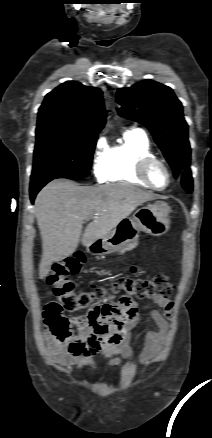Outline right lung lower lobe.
I'll list each match as a JSON object with an SVG mask.
<instances>
[{
    "label": "right lung lower lobe",
    "instance_id": "obj_1",
    "mask_svg": "<svg viewBox=\"0 0 212 438\" xmlns=\"http://www.w3.org/2000/svg\"><path fill=\"white\" fill-rule=\"evenodd\" d=\"M56 178H63L60 176H45V177H40V178H35V179H31V183H30V198H31V202H34L35 196L36 194L40 191V189L46 185L48 182H50L53 179ZM79 179V178H76Z\"/></svg>",
    "mask_w": 212,
    "mask_h": 438
}]
</instances>
